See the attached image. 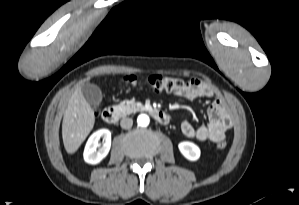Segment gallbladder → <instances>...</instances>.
Masks as SVG:
<instances>
[{
	"instance_id": "1",
	"label": "gallbladder",
	"mask_w": 299,
	"mask_h": 205,
	"mask_svg": "<svg viewBox=\"0 0 299 205\" xmlns=\"http://www.w3.org/2000/svg\"><path fill=\"white\" fill-rule=\"evenodd\" d=\"M81 92L90 105L97 106L102 101V91L97 85L83 84L81 86Z\"/></svg>"
}]
</instances>
